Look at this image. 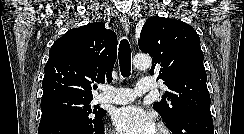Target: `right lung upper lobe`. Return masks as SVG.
<instances>
[{
  "mask_svg": "<svg viewBox=\"0 0 244 134\" xmlns=\"http://www.w3.org/2000/svg\"><path fill=\"white\" fill-rule=\"evenodd\" d=\"M116 56L117 36L102 22L69 30L49 51L42 100L61 96L93 100V84L112 80Z\"/></svg>",
  "mask_w": 244,
  "mask_h": 134,
  "instance_id": "right-lung-upper-lobe-1",
  "label": "right lung upper lobe"
}]
</instances>
